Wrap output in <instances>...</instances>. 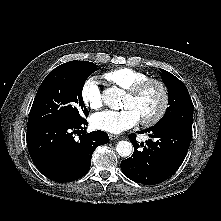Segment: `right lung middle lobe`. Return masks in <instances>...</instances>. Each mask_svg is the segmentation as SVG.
Instances as JSON below:
<instances>
[{"label": "right lung middle lobe", "mask_w": 221, "mask_h": 221, "mask_svg": "<svg viewBox=\"0 0 221 221\" xmlns=\"http://www.w3.org/2000/svg\"><path fill=\"white\" fill-rule=\"evenodd\" d=\"M99 69L92 62L75 60L52 70L37 91L27 125L84 121L89 112L82 98L83 85Z\"/></svg>", "instance_id": "right-lung-middle-lobe-1"}]
</instances>
